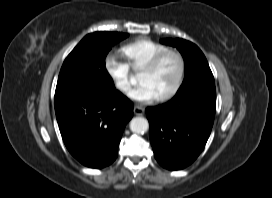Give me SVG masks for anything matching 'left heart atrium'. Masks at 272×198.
<instances>
[{"label": "left heart atrium", "mask_w": 272, "mask_h": 198, "mask_svg": "<svg viewBox=\"0 0 272 198\" xmlns=\"http://www.w3.org/2000/svg\"><path fill=\"white\" fill-rule=\"evenodd\" d=\"M128 97L131 100L142 104L150 103L157 98L151 87L144 83L139 84L137 87L130 90L128 92Z\"/></svg>", "instance_id": "39dd6f15"}]
</instances>
